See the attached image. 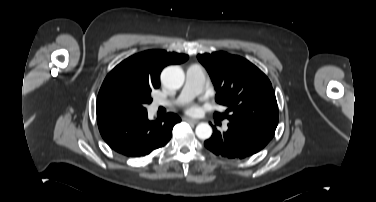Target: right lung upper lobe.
<instances>
[{"label": "right lung upper lobe", "mask_w": 376, "mask_h": 202, "mask_svg": "<svg viewBox=\"0 0 376 202\" xmlns=\"http://www.w3.org/2000/svg\"><path fill=\"white\" fill-rule=\"evenodd\" d=\"M188 59L187 55L168 53L164 50H148L135 54L117 65L105 78L102 86L116 77L127 76L152 86H160V73L169 64H180ZM117 116L103 112L97 106V122Z\"/></svg>", "instance_id": "cb5924a9"}]
</instances>
